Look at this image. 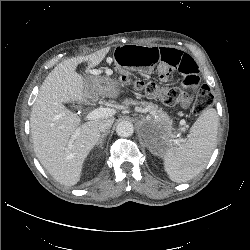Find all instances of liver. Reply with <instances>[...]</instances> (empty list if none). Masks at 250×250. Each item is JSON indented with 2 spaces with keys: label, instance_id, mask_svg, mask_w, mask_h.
<instances>
[{
  "label": "liver",
  "instance_id": "obj_1",
  "mask_svg": "<svg viewBox=\"0 0 250 250\" xmlns=\"http://www.w3.org/2000/svg\"><path fill=\"white\" fill-rule=\"evenodd\" d=\"M109 52V47L90 55L73 57L59 63L46 77L32 107L30 127L36 157L60 184L76 185L83 163L100 139L99 124L112 116L89 120L84 124L63 103H83L88 78L76 72L87 62L85 75L94 73ZM79 131L78 135H75Z\"/></svg>",
  "mask_w": 250,
  "mask_h": 250
}]
</instances>
